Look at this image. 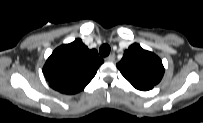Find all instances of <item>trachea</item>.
<instances>
[{
  "label": "trachea",
  "mask_w": 203,
  "mask_h": 123,
  "mask_svg": "<svg viewBox=\"0 0 203 123\" xmlns=\"http://www.w3.org/2000/svg\"><path fill=\"white\" fill-rule=\"evenodd\" d=\"M110 46L108 44H103L100 49H99V53L102 57H106L110 54Z\"/></svg>",
  "instance_id": "1"
}]
</instances>
